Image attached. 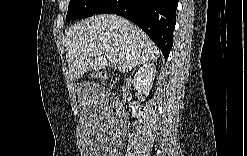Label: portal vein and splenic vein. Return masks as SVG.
I'll return each mask as SVG.
<instances>
[{
	"label": "portal vein and splenic vein",
	"instance_id": "1",
	"mask_svg": "<svg viewBox=\"0 0 247 156\" xmlns=\"http://www.w3.org/2000/svg\"><path fill=\"white\" fill-rule=\"evenodd\" d=\"M109 61H110V63H111L112 65H116V61H115L114 59H112V58L110 59V58H109Z\"/></svg>",
	"mask_w": 247,
	"mask_h": 156
}]
</instances>
